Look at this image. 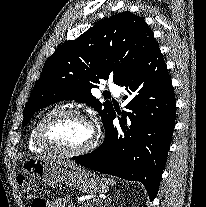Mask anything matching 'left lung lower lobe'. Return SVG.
<instances>
[{
  "label": "left lung lower lobe",
  "instance_id": "0a47b994",
  "mask_svg": "<svg viewBox=\"0 0 206 207\" xmlns=\"http://www.w3.org/2000/svg\"><path fill=\"white\" fill-rule=\"evenodd\" d=\"M127 112L115 111L106 123L105 140L75 162L101 173L141 182L151 201L157 195L172 140L176 100L167 66L158 44L120 84Z\"/></svg>",
  "mask_w": 206,
  "mask_h": 207
}]
</instances>
